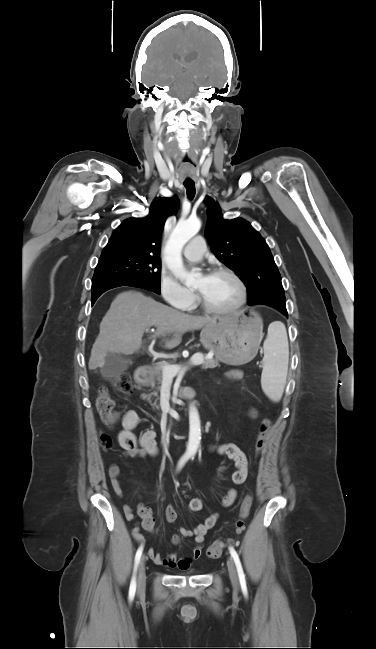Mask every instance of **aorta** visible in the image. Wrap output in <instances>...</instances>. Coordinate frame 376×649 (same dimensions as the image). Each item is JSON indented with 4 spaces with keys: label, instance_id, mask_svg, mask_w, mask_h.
Instances as JSON below:
<instances>
[{
    "label": "aorta",
    "instance_id": "aorta-1",
    "mask_svg": "<svg viewBox=\"0 0 376 649\" xmlns=\"http://www.w3.org/2000/svg\"><path fill=\"white\" fill-rule=\"evenodd\" d=\"M201 227V222L198 218H189L187 220H180L175 229L173 230L168 243L166 245V265L172 274L180 281L188 284L191 283L197 273L187 271L182 261V249L184 245L195 236ZM201 440V424L197 408L194 404L189 406V440L187 445V453L194 455L199 447Z\"/></svg>",
    "mask_w": 376,
    "mask_h": 649
}]
</instances>
